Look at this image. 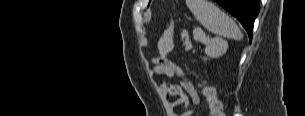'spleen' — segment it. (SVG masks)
<instances>
[{
	"instance_id": "spleen-1",
	"label": "spleen",
	"mask_w": 305,
	"mask_h": 116,
	"mask_svg": "<svg viewBox=\"0 0 305 116\" xmlns=\"http://www.w3.org/2000/svg\"><path fill=\"white\" fill-rule=\"evenodd\" d=\"M186 4L201 25L218 36L211 40V49L218 44H225L221 37L242 39L243 35L237 24L213 3L207 0H187Z\"/></svg>"
}]
</instances>
